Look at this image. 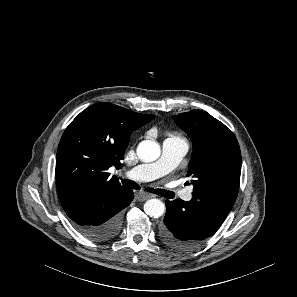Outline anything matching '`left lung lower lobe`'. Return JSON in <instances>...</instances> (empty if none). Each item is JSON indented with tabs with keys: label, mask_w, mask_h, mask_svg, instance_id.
Returning a JSON list of instances; mask_svg holds the SVG:
<instances>
[{
	"label": "left lung lower lobe",
	"mask_w": 297,
	"mask_h": 297,
	"mask_svg": "<svg viewBox=\"0 0 297 297\" xmlns=\"http://www.w3.org/2000/svg\"><path fill=\"white\" fill-rule=\"evenodd\" d=\"M233 204L212 200H166L167 210L160 233L162 241L180 251L197 247L219 229Z\"/></svg>",
	"instance_id": "left-lung-lower-lobe-1"
}]
</instances>
